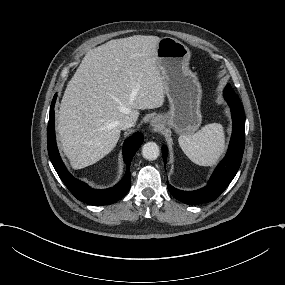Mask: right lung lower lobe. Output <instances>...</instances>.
<instances>
[{
    "instance_id": "right-lung-lower-lobe-1",
    "label": "right lung lower lobe",
    "mask_w": 285,
    "mask_h": 285,
    "mask_svg": "<svg viewBox=\"0 0 285 285\" xmlns=\"http://www.w3.org/2000/svg\"><path fill=\"white\" fill-rule=\"evenodd\" d=\"M57 94L54 98L50 107L49 122L47 128V146L50 160L58 173L60 179L69 189V191L80 201L90 205H109L112 204L122 197H124L131 186V175H130V164L131 160L139 149L143 142V136L137 132L128 138L123 146L124 162L126 164V173L123 179L114 187L105 190H95L90 188L84 182L74 178L65 168L60 155L58 153L56 140H55V114L54 104L56 101Z\"/></svg>"
}]
</instances>
